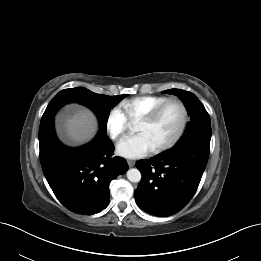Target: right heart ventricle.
<instances>
[{
	"label": "right heart ventricle",
	"mask_w": 261,
	"mask_h": 261,
	"mask_svg": "<svg viewBox=\"0 0 261 261\" xmlns=\"http://www.w3.org/2000/svg\"><path fill=\"white\" fill-rule=\"evenodd\" d=\"M168 99L166 96H138L123 101L121 108L129 121L136 122Z\"/></svg>",
	"instance_id": "1"
}]
</instances>
